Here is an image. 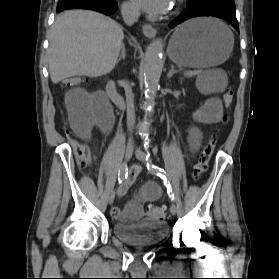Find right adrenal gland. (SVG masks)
I'll use <instances>...</instances> for the list:
<instances>
[{"mask_svg":"<svg viewBox=\"0 0 279 279\" xmlns=\"http://www.w3.org/2000/svg\"><path fill=\"white\" fill-rule=\"evenodd\" d=\"M125 55H126L125 46H124V44H122V46H121V55L119 56V58L116 61V63L118 64L121 59H125Z\"/></svg>","mask_w":279,"mask_h":279,"instance_id":"right-adrenal-gland-1","label":"right adrenal gland"}]
</instances>
